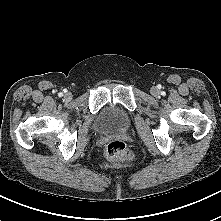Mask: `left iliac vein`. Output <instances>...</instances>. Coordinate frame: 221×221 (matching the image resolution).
<instances>
[{
  "label": "left iliac vein",
  "instance_id": "1",
  "mask_svg": "<svg viewBox=\"0 0 221 221\" xmlns=\"http://www.w3.org/2000/svg\"><path fill=\"white\" fill-rule=\"evenodd\" d=\"M151 94H152L153 96H157V95L159 94L158 89H157L156 87H153V88L151 89Z\"/></svg>",
  "mask_w": 221,
  "mask_h": 221
}]
</instances>
